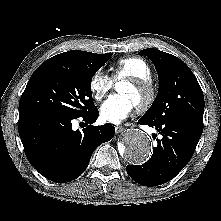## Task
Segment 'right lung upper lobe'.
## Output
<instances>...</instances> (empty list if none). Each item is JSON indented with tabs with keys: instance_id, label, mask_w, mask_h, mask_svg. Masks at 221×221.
<instances>
[{
	"instance_id": "1",
	"label": "right lung upper lobe",
	"mask_w": 221,
	"mask_h": 221,
	"mask_svg": "<svg viewBox=\"0 0 221 221\" xmlns=\"http://www.w3.org/2000/svg\"><path fill=\"white\" fill-rule=\"evenodd\" d=\"M97 56L98 54L96 53L71 50L68 52L58 54L46 60L43 64L84 67L92 63Z\"/></svg>"
}]
</instances>
